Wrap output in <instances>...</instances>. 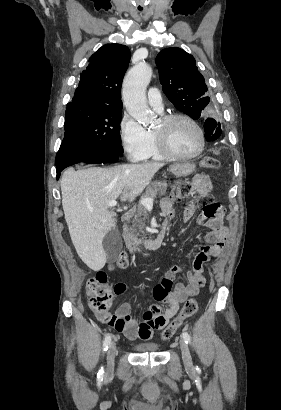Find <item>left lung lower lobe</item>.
<instances>
[{"label": "left lung lower lobe", "instance_id": "1", "mask_svg": "<svg viewBox=\"0 0 281 410\" xmlns=\"http://www.w3.org/2000/svg\"><path fill=\"white\" fill-rule=\"evenodd\" d=\"M204 128L207 141H212L219 137V135H216L217 130L219 129V123H217L213 118L206 119Z\"/></svg>", "mask_w": 281, "mask_h": 410}]
</instances>
